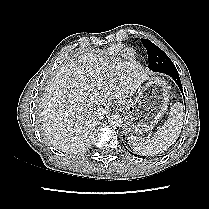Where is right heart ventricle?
I'll use <instances>...</instances> for the list:
<instances>
[{"mask_svg":"<svg viewBox=\"0 0 209 209\" xmlns=\"http://www.w3.org/2000/svg\"><path fill=\"white\" fill-rule=\"evenodd\" d=\"M122 52V47L121 46H114L111 47L108 51H107V55L109 57H114L119 55ZM131 57H134V54L131 55Z\"/></svg>","mask_w":209,"mask_h":209,"instance_id":"e07e8e85","label":"right heart ventricle"}]
</instances>
